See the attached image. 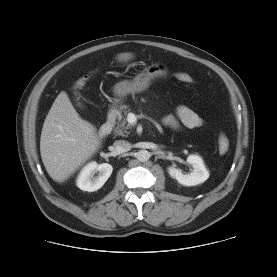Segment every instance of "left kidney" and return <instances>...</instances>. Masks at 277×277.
Wrapping results in <instances>:
<instances>
[{"label": "left kidney", "mask_w": 277, "mask_h": 277, "mask_svg": "<svg viewBox=\"0 0 277 277\" xmlns=\"http://www.w3.org/2000/svg\"><path fill=\"white\" fill-rule=\"evenodd\" d=\"M187 162L193 167L191 173L183 174L180 169L168 167L167 171L169 175L184 186H195L205 182L209 178V171L200 156L195 154L189 155Z\"/></svg>", "instance_id": "left-kidney-1"}]
</instances>
